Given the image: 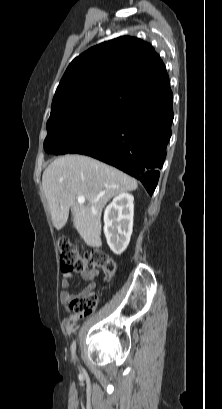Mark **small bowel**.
Returning <instances> with one entry per match:
<instances>
[{
	"label": "small bowel",
	"instance_id": "obj_1",
	"mask_svg": "<svg viewBox=\"0 0 222 409\" xmlns=\"http://www.w3.org/2000/svg\"><path fill=\"white\" fill-rule=\"evenodd\" d=\"M99 271L94 269L92 271H86L81 273V277L83 280L86 281V286L82 290V293L91 292L96 285V279L98 276ZM74 275L71 273L63 272V277L61 280V287L62 291L60 293V302L63 305H67L73 298L74 294H72L68 289L71 285V281L73 280ZM78 319L70 315L69 317L63 320V327L67 333H71L77 323Z\"/></svg>",
	"mask_w": 222,
	"mask_h": 409
}]
</instances>
